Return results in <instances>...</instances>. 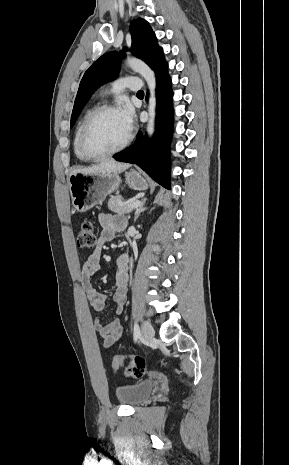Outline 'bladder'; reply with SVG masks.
I'll return each instance as SVG.
<instances>
[{
	"mask_svg": "<svg viewBox=\"0 0 289 465\" xmlns=\"http://www.w3.org/2000/svg\"><path fill=\"white\" fill-rule=\"evenodd\" d=\"M155 385L156 383L153 380L122 385L116 388V397L124 405L137 406L144 403L150 397Z\"/></svg>",
	"mask_w": 289,
	"mask_h": 465,
	"instance_id": "1",
	"label": "bladder"
}]
</instances>
